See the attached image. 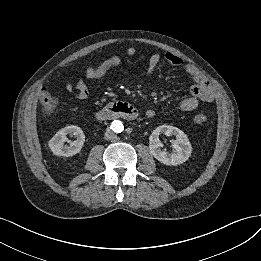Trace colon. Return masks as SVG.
I'll return each instance as SVG.
<instances>
[{
    "mask_svg": "<svg viewBox=\"0 0 261 261\" xmlns=\"http://www.w3.org/2000/svg\"><path fill=\"white\" fill-rule=\"evenodd\" d=\"M209 84V80L205 77L203 80L194 83L190 88V93L192 95L199 94L207 85ZM39 103L41 110L45 113H52L56 111L58 107V98L50 91H43L39 95ZM206 121V117L204 114L199 113L195 116V122L198 124H202Z\"/></svg>",
    "mask_w": 261,
    "mask_h": 261,
    "instance_id": "obj_1",
    "label": "colon"
}]
</instances>
